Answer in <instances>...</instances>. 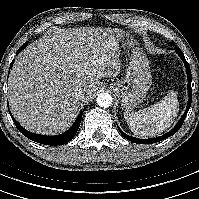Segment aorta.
<instances>
[{
	"label": "aorta",
	"mask_w": 199,
	"mask_h": 199,
	"mask_svg": "<svg viewBox=\"0 0 199 199\" xmlns=\"http://www.w3.org/2000/svg\"><path fill=\"white\" fill-rule=\"evenodd\" d=\"M98 106L108 108L112 105V97L108 93H100L96 98Z\"/></svg>",
	"instance_id": "aorta-1"
}]
</instances>
